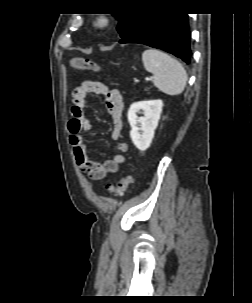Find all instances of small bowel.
I'll return each mask as SVG.
<instances>
[{
  "mask_svg": "<svg viewBox=\"0 0 252 303\" xmlns=\"http://www.w3.org/2000/svg\"><path fill=\"white\" fill-rule=\"evenodd\" d=\"M90 94L104 97L108 114L112 120L111 138L116 142L117 153L102 164L89 159L88 145L81 135L82 132H88L92 129V123L84 113V105ZM122 112L123 103L119 91L111 89L103 83L84 81L73 91L72 114L74 122L70 127V143L74 148V155L79 169L94 181H100L106 175L117 172L119 166L125 162L124 154L128 150V144L126 141L121 140Z\"/></svg>",
  "mask_w": 252,
  "mask_h": 303,
  "instance_id": "small-bowel-1",
  "label": "small bowel"
}]
</instances>
